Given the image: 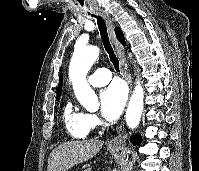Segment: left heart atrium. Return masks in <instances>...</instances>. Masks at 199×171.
I'll return each mask as SVG.
<instances>
[{
    "label": "left heart atrium",
    "mask_w": 199,
    "mask_h": 171,
    "mask_svg": "<svg viewBox=\"0 0 199 171\" xmlns=\"http://www.w3.org/2000/svg\"><path fill=\"white\" fill-rule=\"evenodd\" d=\"M127 99V92L120 82H113L100 95L101 113L108 121L116 120L123 111Z\"/></svg>",
    "instance_id": "left-heart-atrium-1"
}]
</instances>
